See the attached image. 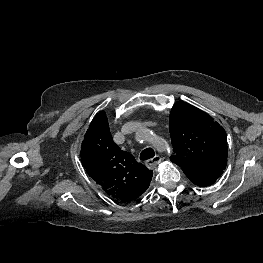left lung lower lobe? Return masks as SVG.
<instances>
[{"mask_svg": "<svg viewBox=\"0 0 263 263\" xmlns=\"http://www.w3.org/2000/svg\"><path fill=\"white\" fill-rule=\"evenodd\" d=\"M185 175L195 184L201 187L213 184L221 175L215 173L188 172Z\"/></svg>", "mask_w": 263, "mask_h": 263, "instance_id": "0a47b994", "label": "left lung lower lobe"}]
</instances>
